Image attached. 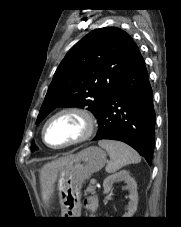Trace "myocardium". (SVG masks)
Here are the masks:
<instances>
[{"label": "myocardium", "instance_id": "1", "mask_svg": "<svg viewBox=\"0 0 181 227\" xmlns=\"http://www.w3.org/2000/svg\"><path fill=\"white\" fill-rule=\"evenodd\" d=\"M62 115H73L78 117L83 124V129L81 134L78 137L74 138L73 140H70L62 145L54 146L49 144L46 140V129L50 122H52L54 119ZM95 129L96 119L89 110L77 106H68L56 111L45 121L42 127L41 137L46 146L53 149H63L87 141L92 137V135L95 132Z\"/></svg>", "mask_w": 181, "mask_h": 227}]
</instances>
